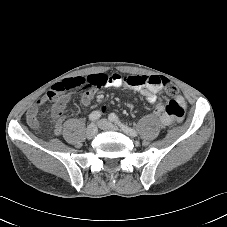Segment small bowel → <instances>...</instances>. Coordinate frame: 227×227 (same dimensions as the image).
<instances>
[{
	"label": "small bowel",
	"instance_id": "obj_1",
	"mask_svg": "<svg viewBox=\"0 0 227 227\" xmlns=\"http://www.w3.org/2000/svg\"><path fill=\"white\" fill-rule=\"evenodd\" d=\"M152 76H121L113 74L108 76L106 72H99L97 74H88L86 76L67 78L63 81H58L52 84L46 91V95L37 100L32 105L26 114L28 124L38 129L40 123L38 120L39 108L47 101H52L55 104L52 112V118L56 120V131L60 130V123L62 121V111L70 99V95L81 94V104L83 107H88L93 98L94 90H101L109 87H130L145 98L149 104L154 105L155 113L160 117L164 124H169L173 120H179L183 117L186 109L185 99L178 94H174L172 99L165 106L157 102V93L161 90L162 85H152L143 83L144 80ZM159 77V76H156ZM68 93V94H65Z\"/></svg>",
	"mask_w": 227,
	"mask_h": 227
}]
</instances>
